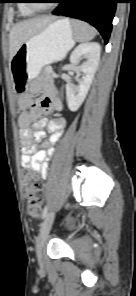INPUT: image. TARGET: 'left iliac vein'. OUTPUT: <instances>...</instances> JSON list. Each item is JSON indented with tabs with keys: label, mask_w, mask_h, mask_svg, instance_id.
<instances>
[{
	"label": "left iliac vein",
	"mask_w": 136,
	"mask_h": 296,
	"mask_svg": "<svg viewBox=\"0 0 136 296\" xmlns=\"http://www.w3.org/2000/svg\"><path fill=\"white\" fill-rule=\"evenodd\" d=\"M54 217V211L49 212L41 224L40 233L37 239V258L40 266H43V250L48 239V234L52 227Z\"/></svg>",
	"instance_id": "1"
}]
</instances>
